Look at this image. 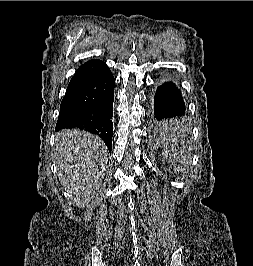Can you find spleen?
I'll list each match as a JSON object with an SVG mask.
<instances>
[{
    "label": "spleen",
    "mask_w": 253,
    "mask_h": 266,
    "mask_svg": "<svg viewBox=\"0 0 253 266\" xmlns=\"http://www.w3.org/2000/svg\"><path fill=\"white\" fill-rule=\"evenodd\" d=\"M166 128H167L168 132H175L177 127H176L175 123H168ZM167 149H171L174 152L176 147H174V145H172V147L171 146L167 147Z\"/></svg>",
    "instance_id": "1"
}]
</instances>
